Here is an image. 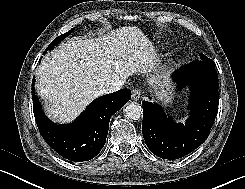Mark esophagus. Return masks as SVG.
<instances>
[{
    "label": "esophagus",
    "instance_id": "1",
    "mask_svg": "<svg viewBox=\"0 0 245 189\" xmlns=\"http://www.w3.org/2000/svg\"><path fill=\"white\" fill-rule=\"evenodd\" d=\"M140 97H141V91L139 89H134L132 91V97H131L132 100L138 101L140 99Z\"/></svg>",
    "mask_w": 245,
    "mask_h": 189
}]
</instances>
